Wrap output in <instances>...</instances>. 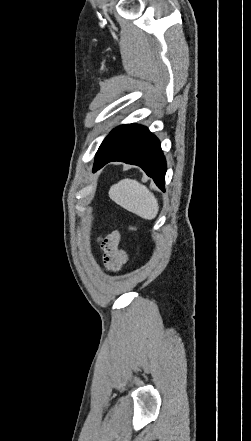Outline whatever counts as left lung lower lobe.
<instances>
[{
  "label": "left lung lower lobe",
  "instance_id": "0a47b994",
  "mask_svg": "<svg viewBox=\"0 0 251 441\" xmlns=\"http://www.w3.org/2000/svg\"><path fill=\"white\" fill-rule=\"evenodd\" d=\"M111 161L140 166L164 190L166 160L159 140L146 127L127 124L113 129L98 149L93 171Z\"/></svg>",
  "mask_w": 251,
  "mask_h": 441
}]
</instances>
